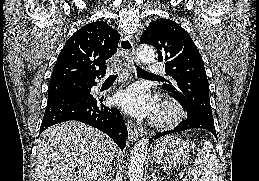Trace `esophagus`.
<instances>
[{"label": "esophagus", "instance_id": "34e87169", "mask_svg": "<svg viewBox=\"0 0 259 181\" xmlns=\"http://www.w3.org/2000/svg\"><path fill=\"white\" fill-rule=\"evenodd\" d=\"M121 52L124 54L126 60H127V68L129 71L133 70V62L137 61L136 55H135V47L134 42L131 39V37L124 35L121 38L120 44H119ZM128 133L131 139L136 140L138 139L142 134L143 130L141 128H138L134 123L131 121H128L126 123Z\"/></svg>", "mask_w": 259, "mask_h": 181}]
</instances>
